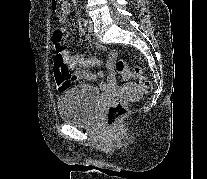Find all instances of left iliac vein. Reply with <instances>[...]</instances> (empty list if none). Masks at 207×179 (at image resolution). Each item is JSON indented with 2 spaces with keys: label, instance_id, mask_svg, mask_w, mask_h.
<instances>
[{
  "label": "left iliac vein",
  "instance_id": "1",
  "mask_svg": "<svg viewBox=\"0 0 207 179\" xmlns=\"http://www.w3.org/2000/svg\"><path fill=\"white\" fill-rule=\"evenodd\" d=\"M88 21V30L89 32H92L93 31V24H92V20L91 19H87Z\"/></svg>",
  "mask_w": 207,
  "mask_h": 179
}]
</instances>
